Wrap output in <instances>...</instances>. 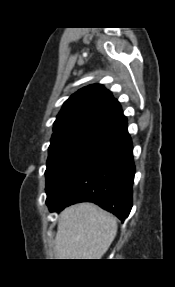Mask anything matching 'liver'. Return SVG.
<instances>
[{"label": "liver", "mask_w": 175, "mask_h": 287, "mask_svg": "<svg viewBox=\"0 0 175 287\" xmlns=\"http://www.w3.org/2000/svg\"><path fill=\"white\" fill-rule=\"evenodd\" d=\"M117 220L91 203L70 206L59 215L57 259H101L117 234Z\"/></svg>", "instance_id": "1"}]
</instances>
